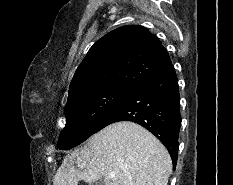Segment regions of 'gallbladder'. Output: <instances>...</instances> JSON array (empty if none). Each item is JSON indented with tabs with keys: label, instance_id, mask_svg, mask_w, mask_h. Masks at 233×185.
Returning a JSON list of instances; mask_svg holds the SVG:
<instances>
[{
	"label": "gallbladder",
	"instance_id": "bac80fb5",
	"mask_svg": "<svg viewBox=\"0 0 233 185\" xmlns=\"http://www.w3.org/2000/svg\"><path fill=\"white\" fill-rule=\"evenodd\" d=\"M90 185H104L103 181L102 180H98Z\"/></svg>",
	"mask_w": 233,
	"mask_h": 185
}]
</instances>
